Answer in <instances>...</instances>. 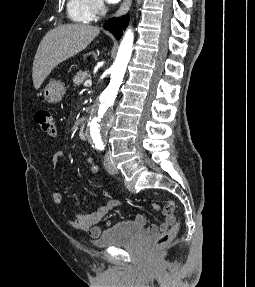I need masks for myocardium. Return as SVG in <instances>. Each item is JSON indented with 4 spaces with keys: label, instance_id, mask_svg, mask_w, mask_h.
<instances>
[{
    "label": "myocardium",
    "instance_id": "myocardium-1",
    "mask_svg": "<svg viewBox=\"0 0 255 287\" xmlns=\"http://www.w3.org/2000/svg\"><path fill=\"white\" fill-rule=\"evenodd\" d=\"M103 33V32H101ZM95 39H110V38H95ZM95 48H106V47H95ZM120 48H123V47H120Z\"/></svg>",
    "mask_w": 255,
    "mask_h": 287
}]
</instances>
